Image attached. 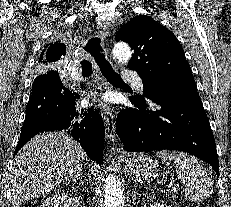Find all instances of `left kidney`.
Returning a JSON list of instances; mask_svg holds the SVG:
<instances>
[{
  "mask_svg": "<svg viewBox=\"0 0 231 207\" xmlns=\"http://www.w3.org/2000/svg\"><path fill=\"white\" fill-rule=\"evenodd\" d=\"M150 207H167L166 205L160 204V203H154Z\"/></svg>",
  "mask_w": 231,
  "mask_h": 207,
  "instance_id": "5707ae66",
  "label": "left kidney"
}]
</instances>
